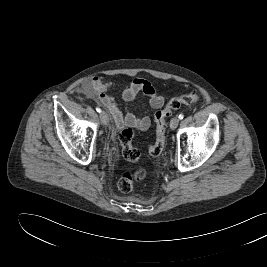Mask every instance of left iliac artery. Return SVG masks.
Segmentation results:
<instances>
[{
    "instance_id": "obj_1",
    "label": "left iliac artery",
    "mask_w": 267,
    "mask_h": 267,
    "mask_svg": "<svg viewBox=\"0 0 267 267\" xmlns=\"http://www.w3.org/2000/svg\"><path fill=\"white\" fill-rule=\"evenodd\" d=\"M183 117H184V115H183V114H180V115L178 116V118H179L180 120H182V119H183Z\"/></svg>"
}]
</instances>
